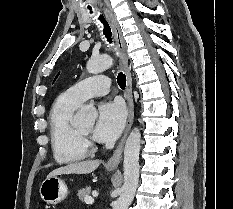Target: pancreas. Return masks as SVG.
<instances>
[{"mask_svg":"<svg viewBox=\"0 0 233 209\" xmlns=\"http://www.w3.org/2000/svg\"><path fill=\"white\" fill-rule=\"evenodd\" d=\"M90 193H91V188L86 187V188L79 190L77 196L83 202L85 201L86 197H90Z\"/></svg>","mask_w":233,"mask_h":209,"instance_id":"1","label":"pancreas"}]
</instances>
